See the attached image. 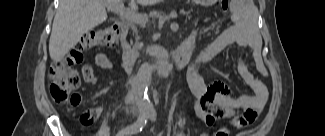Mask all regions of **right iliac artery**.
I'll use <instances>...</instances> for the list:
<instances>
[{
	"label": "right iliac artery",
	"mask_w": 325,
	"mask_h": 136,
	"mask_svg": "<svg viewBox=\"0 0 325 136\" xmlns=\"http://www.w3.org/2000/svg\"><path fill=\"white\" fill-rule=\"evenodd\" d=\"M147 119H148V115L146 114H141L138 117V120L132 124L131 126L122 129L121 131H119L117 133V136H123V135H133V134H137L140 131H142V129L144 128V126L147 123Z\"/></svg>",
	"instance_id": "1"
}]
</instances>
